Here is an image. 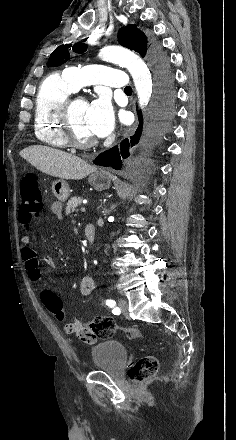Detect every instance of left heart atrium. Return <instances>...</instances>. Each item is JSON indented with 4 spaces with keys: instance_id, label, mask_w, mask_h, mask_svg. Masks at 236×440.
<instances>
[{
    "instance_id": "obj_1",
    "label": "left heart atrium",
    "mask_w": 236,
    "mask_h": 440,
    "mask_svg": "<svg viewBox=\"0 0 236 440\" xmlns=\"http://www.w3.org/2000/svg\"><path fill=\"white\" fill-rule=\"evenodd\" d=\"M86 120L96 137H105L114 128V112L109 99L100 96L87 107Z\"/></svg>"
}]
</instances>
